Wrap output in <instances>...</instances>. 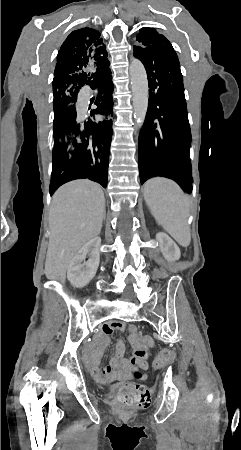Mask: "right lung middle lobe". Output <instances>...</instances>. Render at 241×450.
I'll return each instance as SVG.
<instances>
[{"label": "right lung middle lobe", "mask_w": 241, "mask_h": 450, "mask_svg": "<svg viewBox=\"0 0 241 450\" xmlns=\"http://www.w3.org/2000/svg\"><path fill=\"white\" fill-rule=\"evenodd\" d=\"M75 100L72 98H65L59 101H53L54 110V122L57 121L65 112L71 113V111H76ZM54 140H65L72 141V137L63 136L53 131Z\"/></svg>", "instance_id": "dd1d6c3e"}]
</instances>
